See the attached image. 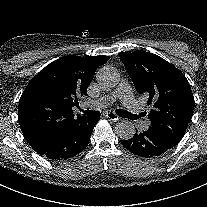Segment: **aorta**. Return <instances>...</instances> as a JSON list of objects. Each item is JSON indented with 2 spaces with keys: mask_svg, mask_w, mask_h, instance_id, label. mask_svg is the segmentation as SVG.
Instances as JSON below:
<instances>
[{
  "mask_svg": "<svg viewBox=\"0 0 207 207\" xmlns=\"http://www.w3.org/2000/svg\"><path fill=\"white\" fill-rule=\"evenodd\" d=\"M98 84L104 89L114 88L120 81L118 70L112 66L101 67L96 73ZM115 132L123 140L131 139L135 134V126L131 121L122 120L115 126Z\"/></svg>",
  "mask_w": 207,
  "mask_h": 207,
  "instance_id": "762f6f07",
  "label": "aorta"
}]
</instances>
